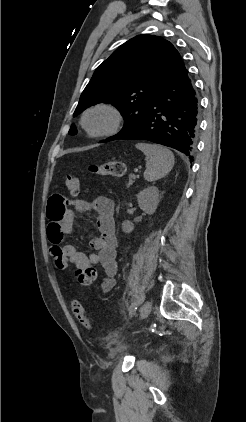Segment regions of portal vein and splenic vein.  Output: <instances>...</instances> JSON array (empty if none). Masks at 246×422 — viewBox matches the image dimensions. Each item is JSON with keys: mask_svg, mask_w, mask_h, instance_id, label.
I'll return each mask as SVG.
<instances>
[{"mask_svg": "<svg viewBox=\"0 0 246 422\" xmlns=\"http://www.w3.org/2000/svg\"><path fill=\"white\" fill-rule=\"evenodd\" d=\"M136 177H138V176H135V175L133 176V178H134V179H135Z\"/></svg>", "mask_w": 246, "mask_h": 422, "instance_id": "1", "label": "portal vein and splenic vein"}]
</instances>
